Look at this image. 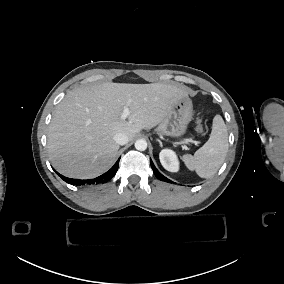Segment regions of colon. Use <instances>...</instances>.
Instances as JSON below:
<instances>
[{
    "mask_svg": "<svg viewBox=\"0 0 284 284\" xmlns=\"http://www.w3.org/2000/svg\"><path fill=\"white\" fill-rule=\"evenodd\" d=\"M196 130L199 134L203 133V124L201 120L197 121Z\"/></svg>",
    "mask_w": 284,
    "mask_h": 284,
    "instance_id": "colon-1",
    "label": "colon"
}]
</instances>
